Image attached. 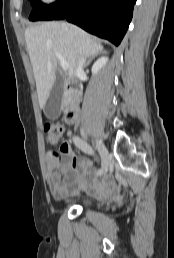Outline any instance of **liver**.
<instances>
[{
    "mask_svg": "<svg viewBox=\"0 0 174 258\" xmlns=\"http://www.w3.org/2000/svg\"><path fill=\"white\" fill-rule=\"evenodd\" d=\"M25 41L33 67L40 108L45 107L56 81V53L67 61L69 78H73L76 75L79 56L91 57L103 49V46L84 30L59 22L28 27L25 31Z\"/></svg>",
    "mask_w": 174,
    "mask_h": 258,
    "instance_id": "1",
    "label": "liver"
}]
</instances>
